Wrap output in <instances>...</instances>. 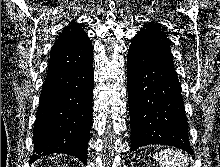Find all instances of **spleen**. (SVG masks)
Masks as SVG:
<instances>
[{"label": "spleen", "mask_w": 220, "mask_h": 167, "mask_svg": "<svg viewBox=\"0 0 220 167\" xmlns=\"http://www.w3.org/2000/svg\"><path fill=\"white\" fill-rule=\"evenodd\" d=\"M160 167H189L187 157L174 149L168 148L155 154Z\"/></svg>", "instance_id": "1"}]
</instances>
